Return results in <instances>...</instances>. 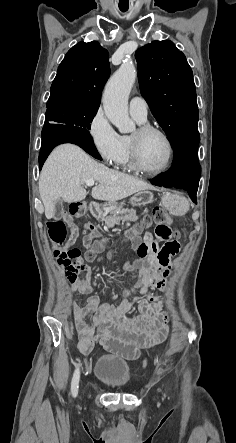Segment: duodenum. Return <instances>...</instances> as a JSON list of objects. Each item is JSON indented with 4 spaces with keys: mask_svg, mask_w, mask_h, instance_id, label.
<instances>
[{
    "mask_svg": "<svg viewBox=\"0 0 236 443\" xmlns=\"http://www.w3.org/2000/svg\"><path fill=\"white\" fill-rule=\"evenodd\" d=\"M90 212L93 217H100L102 215V207L97 204H90Z\"/></svg>",
    "mask_w": 236,
    "mask_h": 443,
    "instance_id": "1",
    "label": "duodenum"
}]
</instances>
